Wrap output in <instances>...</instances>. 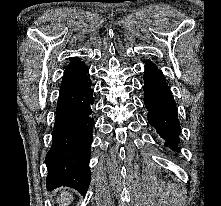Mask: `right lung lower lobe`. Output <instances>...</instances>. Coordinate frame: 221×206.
Wrapping results in <instances>:
<instances>
[{
	"label": "right lung lower lobe",
	"instance_id": "obj_1",
	"mask_svg": "<svg viewBox=\"0 0 221 206\" xmlns=\"http://www.w3.org/2000/svg\"><path fill=\"white\" fill-rule=\"evenodd\" d=\"M89 69L84 62L68 69L62 79L53 128L52 147L46 155L47 190L60 186L85 195L90 183V148L94 103Z\"/></svg>",
	"mask_w": 221,
	"mask_h": 206
}]
</instances>
